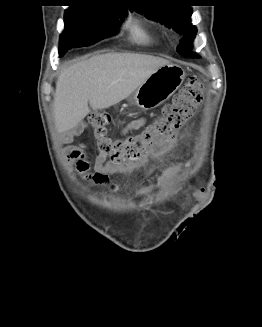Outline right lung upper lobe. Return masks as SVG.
<instances>
[{
  "instance_id": "cb5924a9",
  "label": "right lung upper lobe",
  "mask_w": 262,
  "mask_h": 327,
  "mask_svg": "<svg viewBox=\"0 0 262 327\" xmlns=\"http://www.w3.org/2000/svg\"><path fill=\"white\" fill-rule=\"evenodd\" d=\"M71 1L77 3L76 5L73 6L85 5V6L98 7V8H110V9L122 10V11H124L126 8L125 6H121V5H113L112 4L114 3L113 0H71Z\"/></svg>"
}]
</instances>
